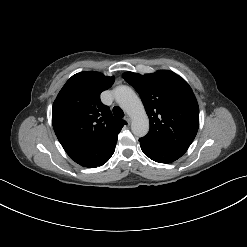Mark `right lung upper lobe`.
I'll return each instance as SVG.
<instances>
[{"label": "right lung upper lobe", "instance_id": "1", "mask_svg": "<svg viewBox=\"0 0 247 247\" xmlns=\"http://www.w3.org/2000/svg\"><path fill=\"white\" fill-rule=\"evenodd\" d=\"M114 77L99 72L73 75L60 90L52 108L55 134L66 153L81 166L92 163L115 139L126 123L112 116L100 102Z\"/></svg>", "mask_w": 247, "mask_h": 247}]
</instances>
